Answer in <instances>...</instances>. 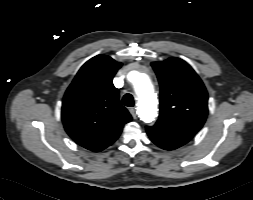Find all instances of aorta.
<instances>
[{
    "label": "aorta",
    "mask_w": 253,
    "mask_h": 200,
    "mask_svg": "<svg viewBox=\"0 0 253 200\" xmlns=\"http://www.w3.org/2000/svg\"><path fill=\"white\" fill-rule=\"evenodd\" d=\"M133 86L138 99L139 115L143 122L151 123L157 117V97L149 76L146 73L136 72Z\"/></svg>",
    "instance_id": "762f6f07"
}]
</instances>
